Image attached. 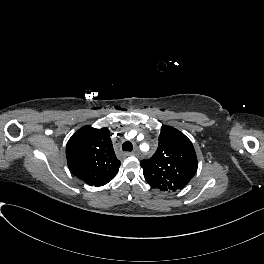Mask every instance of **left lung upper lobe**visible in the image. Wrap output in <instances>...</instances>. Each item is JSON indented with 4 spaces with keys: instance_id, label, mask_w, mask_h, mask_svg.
I'll use <instances>...</instances> for the list:
<instances>
[{
    "instance_id": "5c2ea615",
    "label": "left lung upper lobe",
    "mask_w": 264,
    "mask_h": 264,
    "mask_svg": "<svg viewBox=\"0 0 264 264\" xmlns=\"http://www.w3.org/2000/svg\"><path fill=\"white\" fill-rule=\"evenodd\" d=\"M140 165L151 187L170 192L181 190L189 183L198 162L192 142L177 129L165 125L155 154Z\"/></svg>"
}]
</instances>
